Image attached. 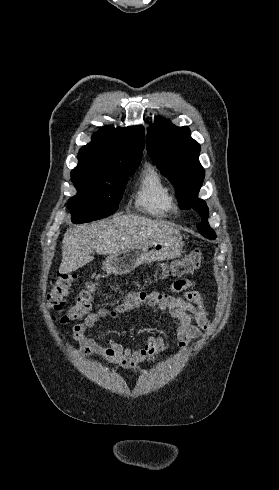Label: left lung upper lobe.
<instances>
[{"label":"left lung upper lobe","instance_id":"5c2ea615","mask_svg":"<svg viewBox=\"0 0 279 490\" xmlns=\"http://www.w3.org/2000/svg\"><path fill=\"white\" fill-rule=\"evenodd\" d=\"M147 150L152 161L176 187V196L184 209L196 210L202 221L199 233L215 239L216 234L208 224V207L197 198L205 170L199 162L200 145L191 138L188 127H176L168 120L158 119L148 128Z\"/></svg>","mask_w":279,"mask_h":490}]
</instances>
